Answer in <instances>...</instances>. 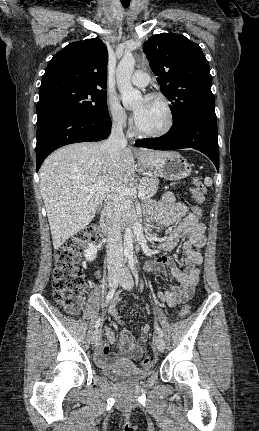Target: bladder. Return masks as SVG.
<instances>
[{
    "mask_svg": "<svg viewBox=\"0 0 259 431\" xmlns=\"http://www.w3.org/2000/svg\"><path fill=\"white\" fill-rule=\"evenodd\" d=\"M101 373L107 378L123 385H129L148 378L153 371L151 369H140L132 363H117L103 368Z\"/></svg>",
    "mask_w": 259,
    "mask_h": 431,
    "instance_id": "31cf9c89",
    "label": "bladder"
}]
</instances>
